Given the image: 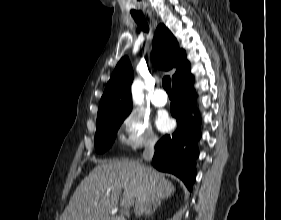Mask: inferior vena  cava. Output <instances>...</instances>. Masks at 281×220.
I'll return each instance as SVG.
<instances>
[{
    "instance_id": "1",
    "label": "inferior vena cava",
    "mask_w": 281,
    "mask_h": 220,
    "mask_svg": "<svg viewBox=\"0 0 281 220\" xmlns=\"http://www.w3.org/2000/svg\"><path fill=\"white\" fill-rule=\"evenodd\" d=\"M156 143V139H152L148 142V144L145 147V150L143 152V159L145 161H151L152 157L154 155V145Z\"/></svg>"
}]
</instances>
